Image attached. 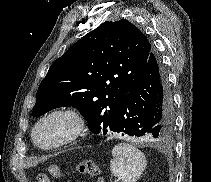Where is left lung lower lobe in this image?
Returning <instances> with one entry per match:
<instances>
[{
	"mask_svg": "<svg viewBox=\"0 0 211 182\" xmlns=\"http://www.w3.org/2000/svg\"><path fill=\"white\" fill-rule=\"evenodd\" d=\"M174 124V106L167 74L151 52L134 87L122 101L113 131L152 140L169 134Z\"/></svg>",
	"mask_w": 211,
	"mask_h": 182,
	"instance_id": "1",
	"label": "left lung lower lobe"
}]
</instances>
